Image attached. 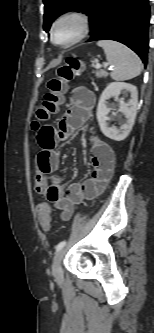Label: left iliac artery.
I'll return each mask as SVG.
<instances>
[{"label":"left iliac artery","mask_w":154,"mask_h":333,"mask_svg":"<svg viewBox=\"0 0 154 333\" xmlns=\"http://www.w3.org/2000/svg\"><path fill=\"white\" fill-rule=\"evenodd\" d=\"M65 245H66V241H61V242L56 246V252L60 251Z\"/></svg>","instance_id":"left-iliac-artery-1"}]
</instances>
